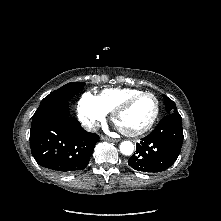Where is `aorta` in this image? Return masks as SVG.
<instances>
[{
    "label": "aorta",
    "instance_id": "aorta-1",
    "mask_svg": "<svg viewBox=\"0 0 221 221\" xmlns=\"http://www.w3.org/2000/svg\"><path fill=\"white\" fill-rule=\"evenodd\" d=\"M120 151L124 155H131L134 151V145L130 141H123L120 144Z\"/></svg>",
    "mask_w": 221,
    "mask_h": 221
}]
</instances>
